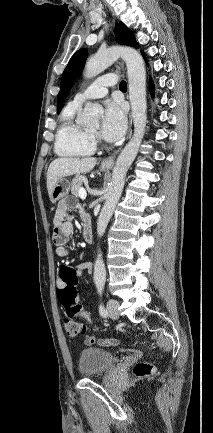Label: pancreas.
Segmentation results:
<instances>
[{"mask_svg":"<svg viewBox=\"0 0 213 433\" xmlns=\"http://www.w3.org/2000/svg\"><path fill=\"white\" fill-rule=\"evenodd\" d=\"M85 182L83 176H76L71 183V193L75 196L79 195V189L82 187V184Z\"/></svg>","mask_w":213,"mask_h":433,"instance_id":"cf45deb5","label":"pancreas"}]
</instances>
